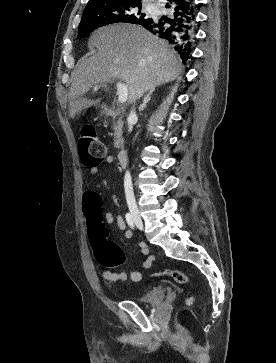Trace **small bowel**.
<instances>
[{"label":"small bowel","mask_w":276,"mask_h":363,"mask_svg":"<svg viewBox=\"0 0 276 363\" xmlns=\"http://www.w3.org/2000/svg\"><path fill=\"white\" fill-rule=\"evenodd\" d=\"M112 161V156H108L105 160L106 163H111ZM97 172V167H91L89 169V173L91 175H95L97 174ZM83 206L85 211H87V209L98 211V209L100 208V200L98 194L95 191H86L83 197ZM104 219L108 224L115 223L120 230L125 232V236L127 238H130L132 236V233L126 230V224L120 214L116 212H107L104 215ZM139 249L141 251V254L146 257L145 261L143 262V267L150 268L156 262V258L152 255H149V250L145 243L140 242ZM102 278L109 282L126 280L136 282L142 278V274L140 272H132L130 274H127L126 272H113L111 270H104L102 272Z\"/></svg>","instance_id":"1"}]
</instances>
